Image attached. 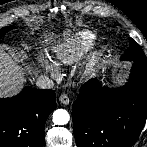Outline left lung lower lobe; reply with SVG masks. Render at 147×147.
<instances>
[{
	"label": "left lung lower lobe",
	"mask_w": 147,
	"mask_h": 147,
	"mask_svg": "<svg viewBox=\"0 0 147 147\" xmlns=\"http://www.w3.org/2000/svg\"><path fill=\"white\" fill-rule=\"evenodd\" d=\"M72 109L78 147H131L147 118V66L134 62L120 88L107 90L96 79L87 81Z\"/></svg>",
	"instance_id": "left-lung-lower-lobe-1"
}]
</instances>
